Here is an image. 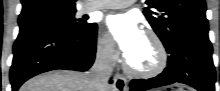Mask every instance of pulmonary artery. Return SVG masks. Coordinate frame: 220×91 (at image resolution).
<instances>
[{"instance_id":"e3ab8cb5","label":"pulmonary artery","mask_w":220,"mask_h":91,"mask_svg":"<svg viewBox=\"0 0 220 91\" xmlns=\"http://www.w3.org/2000/svg\"><path fill=\"white\" fill-rule=\"evenodd\" d=\"M132 0H102L94 1L88 7L89 10L97 9H116V8H125L132 4Z\"/></svg>"}]
</instances>
